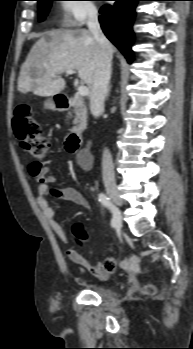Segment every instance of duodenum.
Returning a JSON list of instances; mask_svg holds the SVG:
<instances>
[{
  "mask_svg": "<svg viewBox=\"0 0 193 349\" xmlns=\"http://www.w3.org/2000/svg\"><path fill=\"white\" fill-rule=\"evenodd\" d=\"M55 101H56L57 107L61 110H67L69 108H72L74 105L73 99L65 96H57L55 98ZM81 141H82L81 132H78V131L71 132L66 138L65 147L71 154H76L81 147Z\"/></svg>",
  "mask_w": 193,
  "mask_h": 349,
  "instance_id": "obj_1",
  "label": "duodenum"
}]
</instances>
